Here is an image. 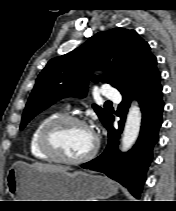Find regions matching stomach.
<instances>
[{"label": "stomach", "instance_id": "0dacf381", "mask_svg": "<svg viewBox=\"0 0 176 211\" xmlns=\"http://www.w3.org/2000/svg\"><path fill=\"white\" fill-rule=\"evenodd\" d=\"M5 181L14 201H92L109 198L118 191V186L104 176L46 171L20 161L10 167Z\"/></svg>", "mask_w": 176, "mask_h": 211}]
</instances>
